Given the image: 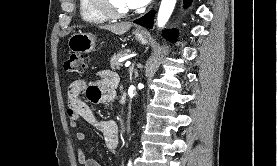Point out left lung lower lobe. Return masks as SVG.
Segmentation results:
<instances>
[{
	"mask_svg": "<svg viewBox=\"0 0 277 166\" xmlns=\"http://www.w3.org/2000/svg\"><path fill=\"white\" fill-rule=\"evenodd\" d=\"M191 1L192 0H184L185 6H189ZM154 15H155V12L150 11L146 15H144L143 17L135 20L134 22L137 23V24H140L142 26H145L147 28H152ZM163 36L166 39H168L170 41H173L176 38L177 35H176V32L174 30H167L166 32H164Z\"/></svg>",
	"mask_w": 277,
	"mask_h": 166,
	"instance_id": "left-lung-lower-lobe-1",
	"label": "left lung lower lobe"
}]
</instances>
